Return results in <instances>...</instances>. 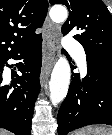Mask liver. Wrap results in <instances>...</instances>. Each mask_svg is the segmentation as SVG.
<instances>
[{
	"mask_svg": "<svg viewBox=\"0 0 112 135\" xmlns=\"http://www.w3.org/2000/svg\"><path fill=\"white\" fill-rule=\"evenodd\" d=\"M0 135H11V134L7 132L6 130L0 129Z\"/></svg>",
	"mask_w": 112,
	"mask_h": 135,
	"instance_id": "liver-1",
	"label": "liver"
}]
</instances>
